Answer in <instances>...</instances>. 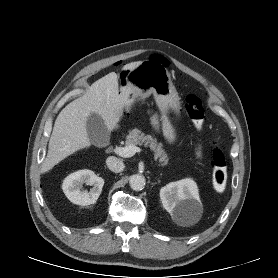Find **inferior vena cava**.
<instances>
[{
	"instance_id": "inferior-vena-cava-1",
	"label": "inferior vena cava",
	"mask_w": 278,
	"mask_h": 278,
	"mask_svg": "<svg viewBox=\"0 0 278 278\" xmlns=\"http://www.w3.org/2000/svg\"><path fill=\"white\" fill-rule=\"evenodd\" d=\"M106 164L111 171L116 173L122 172L125 168L124 163L114 156L108 157L106 160Z\"/></svg>"
}]
</instances>
